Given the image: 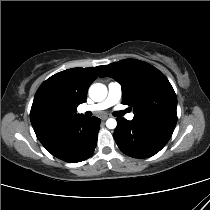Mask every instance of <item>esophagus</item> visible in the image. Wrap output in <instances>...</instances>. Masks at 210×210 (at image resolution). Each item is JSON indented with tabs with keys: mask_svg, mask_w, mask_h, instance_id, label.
Masks as SVG:
<instances>
[{
	"mask_svg": "<svg viewBox=\"0 0 210 210\" xmlns=\"http://www.w3.org/2000/svg\"><path fill=\"white\" fill-rule=\"evenodd\" d=\"M106 119H108V115L101 116V120H106Z\"/></svg>",
	"mask_w": 210,
	"mask_h": 210,
	"instance_id": "34e87169",
	"label": "esophagus"
}]
</instances>
